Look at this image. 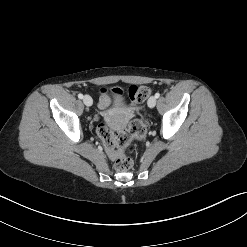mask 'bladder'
<instances>
[{
	"label": "bladder",
	"mask_w": 247,
	"mask_h": 247,
	"mask_svg": "<svg viewBox=\"0 0 247 247\" xmlns=\"http://www.w3.org/2000/svg\"><path fill=\"white\" fill-rule=\"evenodd\" d=\"M126 105L124 98L120 94H116L113 99L114 107H124Z\"/></svg>",
	"instance_id": "bladder-1"
}]
</instances>
